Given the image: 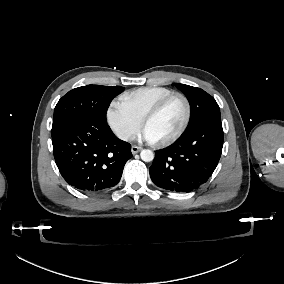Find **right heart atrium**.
Returning a JSON list of instances; mask_svg holds the SVG:
<instances>
[{
	"mask_svg": "<svg viewBox=\"0 0 284 284\" xmlns=\"http://www.w3.org/2000/svg\"><path fill=\"white\" fill-rule=\"evenodd\" d=\"M106 122L112 134L122 142H128L141 126L136 117L118 101H112L106 109Z\"/></svg>",
	"mask_w": 284,
	"mask_h": 284,
	"instance_id": "d8ad5b80",
	"label": "right heart atrium"
}]
</instances>
